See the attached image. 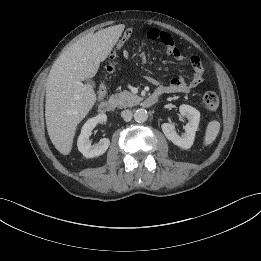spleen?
<instances>
[{
	"instance_id": "obj_1",
	"label": "spleen",
	"mask_w": 261,
	"mask_h": 261,
	"mask_svg": "<svg viewBox=\"0 0 261 261\" xmlns=\"http://www.w3.org/2000/svg\"><path fill=\"white\" fill-rule=\"evenodd\" d=\"M220 131V123L216 120L210 121L207 125L204 144L206 146L212 144Z\"/></svg>"
}]
</instances>
